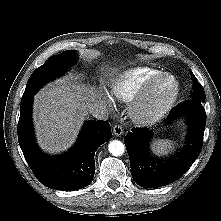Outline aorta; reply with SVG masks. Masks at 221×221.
<instances>
[{
	"label": "aorta",
	"mask_w": 221,
	"mask_h": 221,
	"mask_svg": "<svg viewBox=\"0 0 221 221\" xmlns=\"http://www.w3.org/2000/svg\"><path fill=\"white\" fill-rule=\"evenodd\" d=\"M108 150L113 156H121L125 151V146L121 141L113 140L108 145Z\"/></svg>",
	"instance_id": "obj_1"
}]
</instances>
